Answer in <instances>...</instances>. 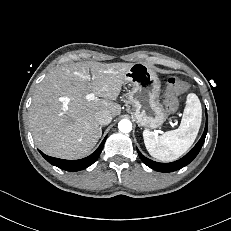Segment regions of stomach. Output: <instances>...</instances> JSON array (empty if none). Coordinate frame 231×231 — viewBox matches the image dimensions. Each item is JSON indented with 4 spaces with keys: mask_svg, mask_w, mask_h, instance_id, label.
Masks as SVG:
<instances>
[{
    "mask_svg": "<svg viewBox=\"0 0 231 231\" xmlns=\"http://www.w3.org/2000/svg\"><path fill=\"white\" fill-rule=\"evenodd\" d=\"M124 83L130 84L129 100L139 126L155 129L163 124L166 113L159 103L160 82L152 65L137 62L126 72Z\"/></svg>",
    "mask_w": 231,
    "mask_h": 231,
    "instance_id": "stomach-1",
    "label": "stomach"
}]
</instances>
